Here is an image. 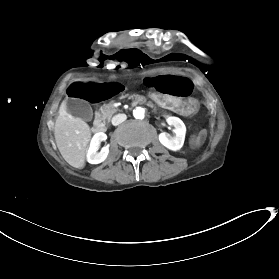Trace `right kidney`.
<instances>
[{
    "label": "right kidney",
    "instance_id": "1",
    "mask_svg": "<svg viewBox=\"0 0 279 279\" xmlns=\"http://www.w3.org/2000/svg\"><path fill=\"white\" fill-rule=\"evenodd\" d=\"M107 139V135L103 132L96 133L90 143V147L87 153V160L91 164H98L103 162L109 153V147L105 146L98 152L100 143Z\"/></svg>",
    "mask_w": 279,
    "mask_h": 279
}]
</instances>
